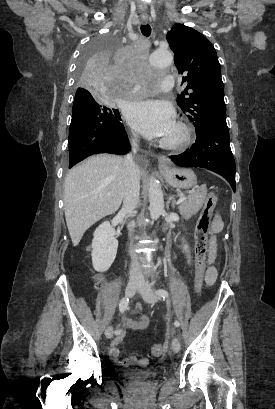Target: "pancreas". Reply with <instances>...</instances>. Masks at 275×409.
Instances as JSON below:
<instances>
[{"mask_svg":"<svg viewBox=\"0 0 275 409\" xmlns=\"http://www.w3.org/2000/svg\"><path fill=\"white\" fill-rule=\"evenodd\" d=\"M207 188H202V190H195V192H189L186 196L187 200H183L181 205H179V213L183 215L184 219H190L192 215H196L200 211L203 202L206 198ZM178 196H184L179 192Z\"/></svg>","mask_w":275,"mask_h":409,"instance_id":"pancreas-1","label":"pancreas"}]
</instances>
